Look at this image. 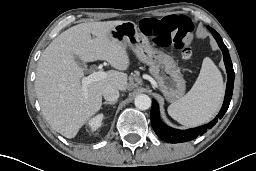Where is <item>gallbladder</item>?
Returning <instances> with one entry per match:
<instances>
[{"mask_svg": "<svg viewBox=\"0 0 256 171\" xmlns=\"http://www.w3.org/2000/svg\"><path fill=\"white\" fill-rule=\"evenodd\" d=\"M75 61H76V63H77L80 67H82V68H85V67H86V64H85L78 56H76V55H75Z\"/></svg>", "mask_w": 256, "mask_h": 171, "instance_id": "obj_1", "label": "gallbladder"}]
</instances>
